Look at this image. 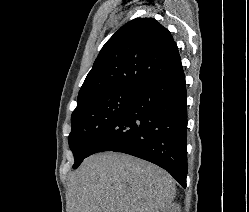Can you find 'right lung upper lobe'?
Wrapping results in <instances>:
<instances>
[{"label":"right lung upper lobe","mask_w":249,"mask_h":212,"mask_svg":"<svg viewBox=\"0 0 249 212\" xmlns=\"http://www.w3.org/2000/svg\"><path fill=\"white\" fill-rule=\"evenodd\" d=\"M181 65L170 32L153 18H137L103 46L78 94V105L116 91L139 92Z\"/></svg>","instance_id":"cb5924a9"}]
</instances>
